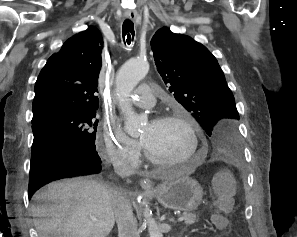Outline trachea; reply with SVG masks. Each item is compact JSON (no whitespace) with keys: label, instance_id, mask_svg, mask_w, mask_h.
Returning <instances> with one entry per match:
<instances>
[{"label":"trachea","instance_id":"trachea-1","mask_svg":"<svg viewBox=\"0 0 297 237\" xmlns=\"http://www.w3.org/2000/svg\"><path fill=\"white\" fill-rule=\"evenodd\" d=\"M134 35V24L130 19H126L122 26V37L124 43L126 42L128 45H130L131 41L134 39Z\"/></svg>","mask_w":297,"mask_h":237}]
</instances>
